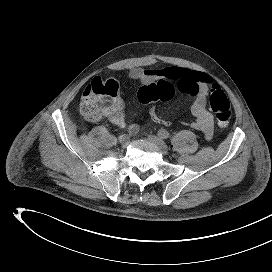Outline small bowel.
Masks as SVG:
<instances>
[{
    "label": "small bowel",
    "instance_id": "1",
    "mask_svg": "<svg viewBox=\"0 0 272 272\" xmlns=\"http://www.w3.org/2000/svg\"><path fill=\"white\" fill-rule=\"evenodd\" d=\"M128 76L144 85L157 80H166L172 82L179 91L191 95L193 101L190 110L194 119L189 125L201 132L206 140L212 139L213 116L206 108V93L212 83L210 76L202 72L181 67H168L163 69L134 68L129 71ZM124 109L125 103L119 98L113 111L108 115L114 124L122 125L124 123ZM149 114L155 123L167 126L171 124V121L159 117L155 107L150 109Z\"/></svg>",
    "mask_w": 272,
    "mask_h": 272
}]
</instances>
